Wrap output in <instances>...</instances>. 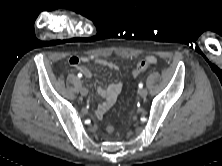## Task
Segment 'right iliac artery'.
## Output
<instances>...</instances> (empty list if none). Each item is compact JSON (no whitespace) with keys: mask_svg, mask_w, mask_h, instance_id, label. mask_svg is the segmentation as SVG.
<instances>
[{"mask_svg":"<svg viewBox=\"0 0 222 166\" xmlns=\"http://www.w3.org/2000/svg\"><path fill=\"white\" fill-rule=\"evenodd\" d=\"M78 77L81 78V77H82V74H81V73H78Z\"/></svg>","mask_w":222,"mask_h":166,"instance_id":"82829eb1","label":"right iliac artery"}]
</instances>
